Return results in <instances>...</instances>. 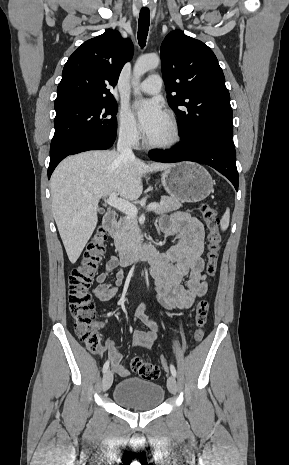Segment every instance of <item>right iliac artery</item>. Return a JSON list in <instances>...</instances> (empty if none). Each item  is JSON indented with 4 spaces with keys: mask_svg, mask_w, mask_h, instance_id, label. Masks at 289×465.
Here are the masks:
<instances>
[{
    "mask_svg": "<svg viewBox=\"0 0 289 465\" xmlns=\"http://www.w3.org/2000/svg\"><path fill=\"white\" fill-rule=\"evenodd\" d=\"M108 368H109V361H106L103 365V369H102L103 373H105L108 370Z\"/></svg>",
    "mask_w": 289,
    "mask_h": 465,
    "instance_id": "right-iliac-artery-1",
    "label": "right iliac artery"
}]
</instances>
